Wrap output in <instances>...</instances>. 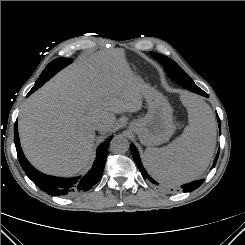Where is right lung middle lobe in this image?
I'll list each match as a JSON object with an SVG mask.
<instances>
[{
	"instance_id": "obj_1",
	"label": "right lung middle lobe",
	"mask_w": 245,
	"mask_h": 245,
	"mask_svg": "<svg viewBox=\"0 0 245 245\" xmlns=\"http://www.w3.org/2000/svg\"><path fill=\"white\" fill-rule=\"evenodd\" d=\"M72 62V59L70 58H57L55 60H53L52 62H50L45 70H43L41 76H47V74H51V76H53L54 74H56L58 71H60L62 68H64L65 66H67L68 64H70ZM39 77V78H40ZM40 81H36L35 86L39 85Z\"/></svg>"
}]
</instances>
